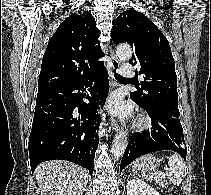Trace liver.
Segmentation results:
<instances>
[{
    "label": "liver",
    "instance_id": "6515ba94",
    "mask_svg": "<svg viewBox=\"0 0 211 195\" xmlns=\"http://www.w3.org/2000/svg\"><path fill=\"white\" fill-rule=\"evenodd\" d=\"M35 175L41 195H82L88 181L87 170L63 160L40 163Z\"/></svg>",
    "mask_w": 211,
    "mask_h": 195
}]
</instances>
